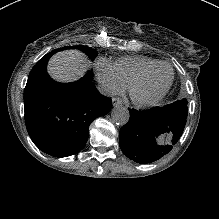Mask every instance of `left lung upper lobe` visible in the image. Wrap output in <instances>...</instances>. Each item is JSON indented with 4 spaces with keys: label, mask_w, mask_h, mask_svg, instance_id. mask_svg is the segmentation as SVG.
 <instances>
[{
    "label": "left lung upper lobe",
    "mask_w": 219,
    "mask_h": 219,
    "mask_svg": "<svg viewBox=\"0 0 219 219\" xmlns=\"http://www.w3.org/2000/svg\"><path fill=\"white\" fill-rule=\"evenodd\" d=\"M164 109L171 110L179 115L187 117V100L186 99L178 100L172 104L166 105Z\"/></svg>",
    "instance_id": "obj_1"
}]
</instances>
